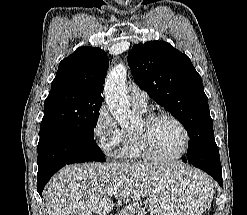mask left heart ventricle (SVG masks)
Here are the masks:
<instances>
[{
	"mask_svg": "<svg viewBox=\"0 0 247 215\" xmlns=\"http://www.w3.org/2000/svg\"><path fill=\"white\" fill-rule=\"evenodd\" d=\"M142 127L141 121L136 130ZM149 137L154 150L162 155H176L183 148V132L174 121L168 118H161L150 125Z\"/></svg>",
	"mask_w": 247,
	"mask_h": 215,
	"instance_id": "obj_1",
	"label": "left heart ventricle"
}]
</instances>
